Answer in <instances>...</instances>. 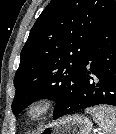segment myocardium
Here are the masks:
<instances>
[{"label": "myocardium", "instance_id": "obj_1", "mask_svg": "<svg viewBox=\"0 0 116 134\" xmlns=\"http://www.w3.org/2000/svg\"><path fill=\"white\" fill-rule=\"evenodd\" d=\"M53 106L54 102L51 98H39L27 106L25 110V118L31 123L38 122L51 112Z\"/></svg>", "mask_w": 116, "mask_h": 134}]
</instances>
